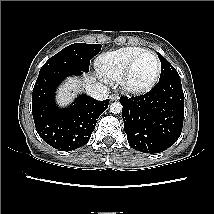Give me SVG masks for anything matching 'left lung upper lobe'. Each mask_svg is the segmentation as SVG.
<instances>
[{
  "mask_svg": "<svg viewBox=\"0 0 214 214\" xmlns=\"http://www.w3.org/2000/svg\"><path fill=\"white\" fill-rule=\"evenodd\" d=\"M158 57L161 60V66H162L159 80L165 79L168 77H180L176 69L160 53H158Z\"/></svg>",
  "mask_w": 214,
  "mask_h": 214,
  "instance_id": "left-lung-upper-lobe-1",
  "label": "left lung upper lobe"
}]
</instances>
